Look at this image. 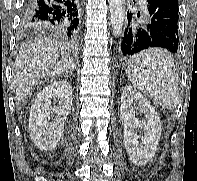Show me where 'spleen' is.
<instances>
[{
    "label": "spleen",
    "instance_id": "1",
    "mask_svg": "<svg viewBox=\"0 0 197 181\" xmlns=\"http://www.w3.org/2000/svg\"><path fill=\"white\" fill-rule=\"evenodd\" d=\"M127 74L131 83L156 104L170 110L176 108L178 74L167 51L152 48L134 55L128 62Z\"/></svg>",
    "mask_w": 197,
    "mask_h": 181
}]
</instances>
